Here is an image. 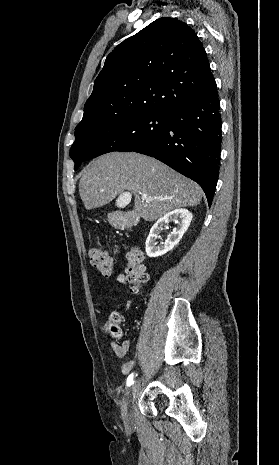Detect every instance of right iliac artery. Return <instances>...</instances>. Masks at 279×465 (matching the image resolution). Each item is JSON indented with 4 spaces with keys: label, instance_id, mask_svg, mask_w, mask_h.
Segmentation results:
<instances>
[{
    "label": "right iliac artery",
    "instance_id": "obj_1",
    "mask_svg": "<svg viewBox=\"0 0 279 465\" xmlns=\"http://www.w3.org/2000/svg\"><path fill=\"white\" fill-rule=\"evenodd\" d=\"M134 374H130L129 377L127 378V386L130 387L134 383Z\"/></svg>",
    "mask_w": 279,
    "mask_h": 465
}]
</instances>
